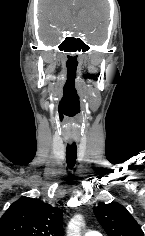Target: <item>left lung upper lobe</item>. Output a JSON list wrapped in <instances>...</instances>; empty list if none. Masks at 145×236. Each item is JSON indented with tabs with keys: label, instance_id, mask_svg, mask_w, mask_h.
Masks as SVG:
<instances>
[{
	"label": "left lung upper lobe",
	"instance_id": "5c2ea615",
	"mask_svg": "<svg viewBox=\"0 0 145 236\" xmlns=\"http://www.w3.org/2000/svg\"><path fill=\"white\" fill-rule=\"evenodd\" d=\"M94 213L108 236H144L141 226L118 203H103L94 208Z\"/></svg>",
	"mask_w": 145,
	"mask_h": 236
}]
</instances>
